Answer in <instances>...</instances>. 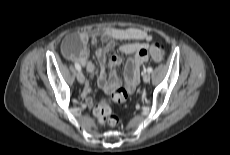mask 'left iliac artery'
I'll list each match as a JSON object with an SVG mask.
<instances>
[{
    "label": "left iliac artery",
    "mask_w": 230,
    "mask_h": 155,
    "mask_svg": "<svg viewBox=\"0 0 230 155\" xmlns=\"http://www.w3.org/2000/svg\"><path fill=\"white\" fill-rule=\"evenodd\" d=\"M153 71L152 67H148L147 72L151 73Z\"/></svg>",
    "instance_id": "1"
}]
</instances>
